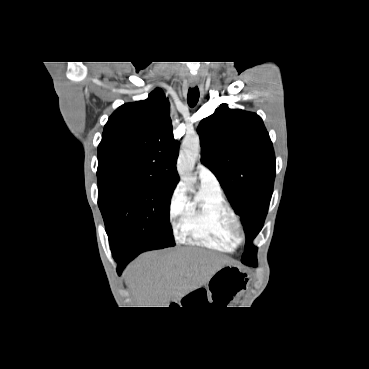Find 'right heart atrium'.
Returning a JSON list of instances; mask_svg holds the SVG:
<instances>
[{
    "label": "right heart atrium",
    "mask_w": 369,
    "mask_h": 369,
    "mask_svg": "<svg viewBox=\"0 0 369 369\" xmlns=\"http://www.w3.org/2000/svg\"><path fill=\"white\" fill-rule=\"evenodd\" d=\"M187 195L184 187L178 185L172 192L169 203V217L171 220H180L187 204Z\"/></svg>",
    "instance_id": "1"
}]
</instances>
